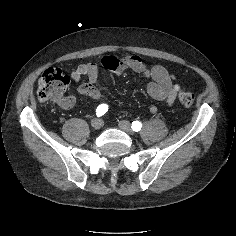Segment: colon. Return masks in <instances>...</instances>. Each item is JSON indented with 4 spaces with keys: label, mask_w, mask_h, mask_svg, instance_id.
<instances>
[{
    "label": "colon",
    "mask_w": 236,
    "mask_h": 236,
    "mask_svg": "<svg viewBox=\"0 0 236 236\" xmlns=\"http://www.w3.org/2000/svg\"><path fill=\"white\" fill-rule=\"evenodd\" d=\"M70 78L59 68H49L38 81L37 94L41 101H52L61 105L65 99L64 95L69 86ZM179 102L190 107L194 103V95L182 92L178 96Z\"/></svg>",
    "instance_id": "colon-1"
}]
</instances>
